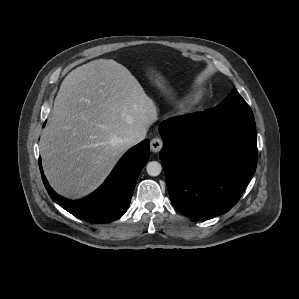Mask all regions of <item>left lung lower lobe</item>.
<instances>
[{
    "mask_svg": "<svg viewBox=\"0 0 299 299\" xmlns=\"http://www.w3.org/2000/svg\"><path fill=\"white\" fill-rule=\"evenodd\" d=\"M159 132L161 164L175 208L198 220L229 211L256 170L254 118L220 120L204 111L167 119Z\"/></svg>",
    "mask_w": 299,
    "mask_h": 299,
    "instance_id": "1",
    "label": "left lung lower lobe"
}]
</instances>
